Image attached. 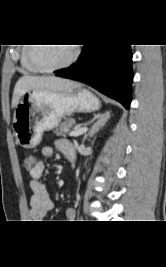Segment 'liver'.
<instances>
[{
  "instance_id": "obj_1",
  "label": "liver",
  "mask_w": 166,
  "mask_h": 267,
  "mask_svg": "<svg viewBox=\"0 0 166 267\" xmlns=\"http://www.w3.org/2000/svg\"><path fill=\"white\" fill-rule=\"evenodd\" d=\"M80 84L55 76H23L14 88L12 97V108H15L21 97L29 91H56L62 92L79 88Z\"/></svg>"
}]
</instances>
